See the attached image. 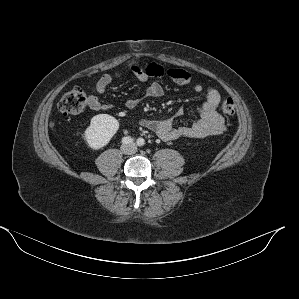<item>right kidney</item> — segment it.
I'll return each mask as SVG.
<instances>
[{
  "label": "right kidney",
  "mask_w": 299,
  "mask_h": 299,
  "mask_svg": "<svg viewBox=\"0 0 299 299\" xmlns=\"http://www.w3.org/2000/svg\"><path fill=\"white\" fill-rule=\"evenodd\" d=\"M119 129V122L108 114H99L91 119L84 137L88 146L98 150L106 146Z\"/></svg>",
  "instance_id": "ca27d5eb"
}]
</instances>
